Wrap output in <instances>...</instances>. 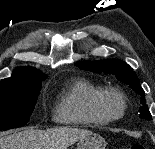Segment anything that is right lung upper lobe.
<instances>
[{
	"instance_id": "cb5924a9",
	"label": "right lung upper lobe",
	"mask_w": 155,
	"mask_h": 149,
	"mask_svg": "<svg viewBox=\"0 0 155 149\" xmlns=\"http://www.w3.org/2000/svg\"><path fill=\"white\" fill-rule=\"evenodd\" d=\"M42 77H46V75L33 67H19L13 71L11 78H6L2 81L35 80Z\"/></svg>"
}]
</instances>
